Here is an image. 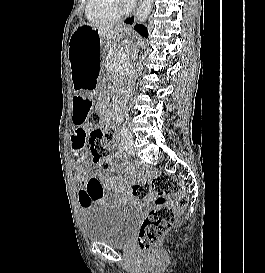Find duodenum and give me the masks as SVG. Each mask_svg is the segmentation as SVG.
<instances>
[{
    "label": "duodenum",
    "mask_w": 265,
    "mask_h": 273,
    "mask_svg": "<svg viewBox=\"0 0 265 273\" xmlns=\"http://www.w3.org/2000/svg\"><path fill=\"white\" fill-rule=\"evenodd\" d=\"M117 116H118V118H121V117H122L121 111L118 112V115H117Z\"/></svg>",
    "instance_id": "obj_1"
}]
</instances>
